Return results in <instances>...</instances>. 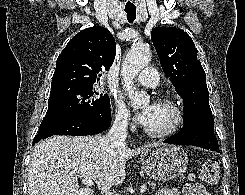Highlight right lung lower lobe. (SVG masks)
I'll return each mask as SVG.
<instances>
[{
    "label": "right lung lower lobe",
    "mask_w": 245,
    "mask_h": 195,
    "mask_svg": "<svg viewBox=\"0 0 245 195\" xmlns=\"http://www.w3.org/2000/svg\"><path fill=\"white\" fill-rule=\"evenodd\" d=\"M111 124L110 107L99 108L88 113L59 121L40 129L33 144L52 135H93L107 130Z\"/></svg>",
    "instance_id": "right-lung-lower-lobe-1"
}]
</instances>
